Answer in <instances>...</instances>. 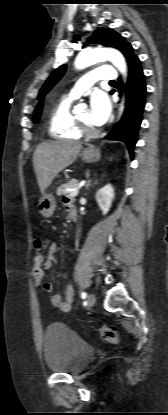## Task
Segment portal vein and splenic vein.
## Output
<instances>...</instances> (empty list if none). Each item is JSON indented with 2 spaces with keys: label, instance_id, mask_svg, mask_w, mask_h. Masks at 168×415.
<instances>
[{
  "label": "portal vein and splenic vein",
  "instance_id": "portal-vein-and-splenic-vein-1",
  "mask_svg": "<svg viewBox=\"0 0 168 415\" xmlns=\"http://www.w3.org/2000/svg\"><path fill=\"white\" fill-rule=\"evenodd\" d=\"M80 186L78 188L72 190V192L70 194V197H76L78 195Z\"/></svg>",
  "mask_w": 168,
  "mask_h": 415
}]
</instances>
